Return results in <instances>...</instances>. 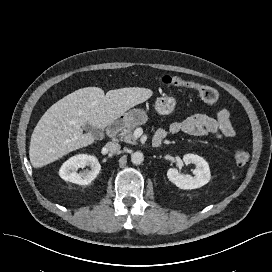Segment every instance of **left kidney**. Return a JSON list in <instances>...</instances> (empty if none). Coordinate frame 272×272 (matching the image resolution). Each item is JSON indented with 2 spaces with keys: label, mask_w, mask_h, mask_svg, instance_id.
<instances>
[{
  "label": "left kidney",
  "mask_w": 272,
  "mask_h": 272,
  "mask_svg": "<svg viewBox=\"0 0 272 272\" xmlns=\"http://www.w3.org/2000/svg\"><path fill=\"white\" fill-rule=\"evenodd\" d=\"M183 161L186 165L193 164L194 177L191 175L181 174L176 168H169L167 177L169 181L175 184L180 189H196L207 184L211 179L210 168L208 163L199 155L185 154Z\"/></svg>",
  "instance_id": "obj_1"
}]
</instances>
